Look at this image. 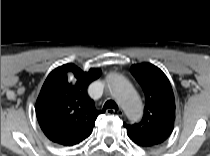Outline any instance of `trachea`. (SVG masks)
Instances as JSON below:
<instances>
[{
    "instance_id": "3493384b",
    "label": "trachea",
    "mask_w": 210,
    "mask_h": 156,
    "mask_svg": "<svg viewBox=\"0 0 210 156\" xmlns=\"http://www.w3.org/2000/svg\"><path fill=\"white\" fill-rule=\"evenodd\" d=\"M109 108L117 110L118 106L116 105V103L114 101L108 100L104 104L103 109H109Z\"/></svg>"
}]
</instances>
